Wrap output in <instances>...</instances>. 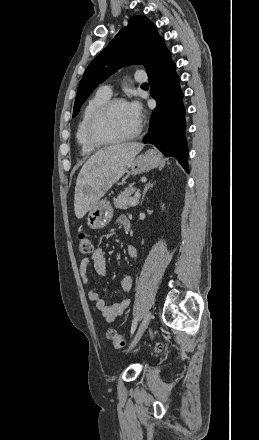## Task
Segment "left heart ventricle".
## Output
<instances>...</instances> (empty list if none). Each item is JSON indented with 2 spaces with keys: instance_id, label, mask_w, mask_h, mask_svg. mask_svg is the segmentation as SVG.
Masks as SVG:
<instances>
[{
  "instance_id": "b2bd125f",
  "label": "left heart ventricle",
  "mask_w": 259,
  "mask_h": 440,
  "mask_svg": "<svg viewBox=\"0 0 259 440\" xmlns=\"http://www.w3.org/2000/svg\"><path fill=\"white\" fill-rule=\"evenodd\" d=\"M137 125L127 104L123 103L116 105L109 112L101 127V132L107 137L119 138L132 133Z\"/></svg>"
}]
</instances>
